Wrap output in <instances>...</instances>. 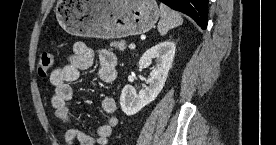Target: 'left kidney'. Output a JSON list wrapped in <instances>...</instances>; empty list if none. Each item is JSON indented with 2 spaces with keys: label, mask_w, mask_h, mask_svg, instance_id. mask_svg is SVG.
Wrapping results in <instances>:
<instances>
[{
  "label": "left kidney",
  "mask_w": 276,
  "mask_h": 145,
  "mask_svg": "<svg viewBox=\"0 0 276 145\" xmlns=\"http://www.w3.org/2000/svg\"><path fill=\"white\" fill-rule=\"evenodd\" d=\"M176 46L171 41H164L148 49L139 60L140 69L147 67L152 60L156 62V68L150 73L148 86L139 94L131 85H126L120 96L122 111L128 115H134L143 107L156 99L166 82L168 72L172 66Z\"/></svg>",
  "instance_id": "5707ae66"
}]
</instances>
